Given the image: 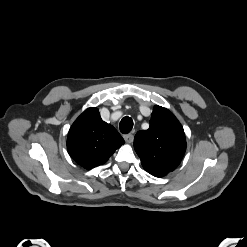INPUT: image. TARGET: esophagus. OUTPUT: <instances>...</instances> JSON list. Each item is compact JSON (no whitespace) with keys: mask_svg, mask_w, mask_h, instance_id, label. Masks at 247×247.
<instances>
[{"mask_svg":"<svg viewBox=\"0 0 247 247\" xmlns=\"http://www.w3.org/2000/svg\"><path fill=\"white\" fill-rule=\"evenodd\" d=\"M124 140L127 143H132L134 140V135L133 134H126V135H124Z\"/></svg>","mask_w":247,"mask_h":247,"instance_id":"esophagus-1","label":"esophagus"}]
</instances>
